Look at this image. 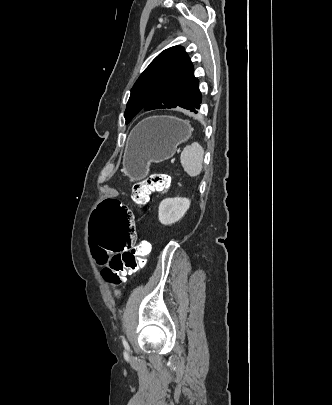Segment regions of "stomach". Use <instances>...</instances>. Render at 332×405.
Segmentation results:
<instances>
[{"label": "stomach", "mask_w": 332, "mask_h": 405, "mask_svg": "<svg viewBox=\"0 0 332 405\" xmlns=\"http://www.w3.org/2000/svg\"><path fill=\"white\" fill-rule=\"evenodd\" d=\"M193 128L174 117H149L130 133L123 157V169L132 180L144 179L152 162L174 156L177 146L186 142Z\"/></svg>", "instance_id": "obj_1"}]
</instances>
